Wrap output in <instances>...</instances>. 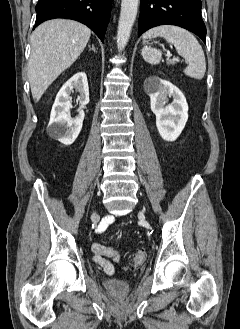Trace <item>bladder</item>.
Here are the masks:
<instances>
[{"label":"bladder","instance_id":"bladder-1","mask_svg":"<svg viewBox=\"0 0 240 329\" xmlns=\"http://www.w3.org/2000/svg\"><path fill=\"white\" fill-rule=\"evenodd\" d=\"M129 287L127 282L116 278L104 281V288L110 293H125Z\"/></svg>","mask_w":240,"mask_h":329}]
</instances>
